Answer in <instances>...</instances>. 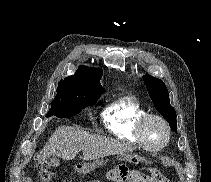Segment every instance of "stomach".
<instances>
[{"mask_svg": "<svg viewBox=\"0 0 211 182\" xmlns=\"http://www.w3.org/2000/svg\"><path fill=\"white\" fill-rule=\"evenodd\" d=\"M128 157H129V156H124L123 158H124V159H127Z\"/></svg>", "mask_w": 211, "mask_h": 182, "instance_id": "obj_1", "label": "stomach"}]
</instances>
